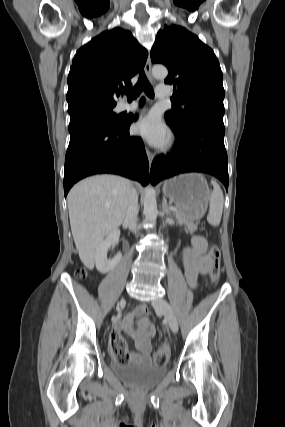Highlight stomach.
Masks as SVG:
<instances>
[{
  "instance_id": "stomach-1",
  "label": "stomach",
  "mask_w": 285,
  "mask_h": 427,
  "mask_svg": "<svg viewBox=\"0 0 285 427\" xmlns=\"http://www.w3.org/2000/svg\"><path fill=\"white\" fill-rule=\"evenodd\" d=\"M163 194L191 221L199 220L207 210L210 190L202 174H182L166 180Z\"/></svg>"
}]
</instances>
